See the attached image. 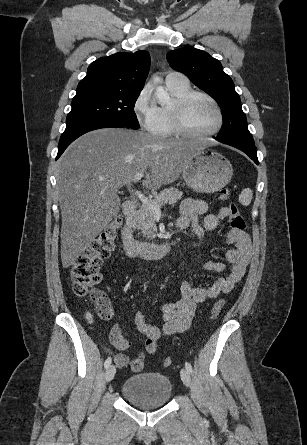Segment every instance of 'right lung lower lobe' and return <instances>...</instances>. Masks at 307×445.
<instances>
[{
    "label": "right lung lower lobe",
    "mask_w": 307,
    "mask_h": 445,
    "mask_svg": "<svg viewBox=\"0 0 307 445\" xmlns=\"http://www.w3.org/2000/svg\"><path fill=\"white\" fill-rule=\"evenodd\" d=\"M125 126L111 123V122H102V121H94V122H85L80 124H75L72 126H67L64 133L61 135L59 146H58V154L56 160L61 156V154L65 151V149L79 136L100 128H122Z\"/></svg>",
    "instance_id": "obj_1"
}]
</instances>
